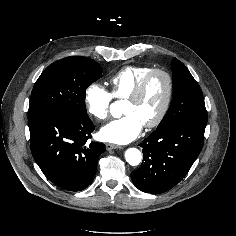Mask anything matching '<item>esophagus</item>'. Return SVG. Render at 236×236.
Wrapping results in <instances>:
<instances>
[{
    "mask_svg": "<svg viewBox=\"0 0 236 236\" xmlns=\"http://www.w3.org/2000/svg\"><path fill=\"white\" fill-rule=\"evenodd\" d=\"M117 148H121L120 146L116 145V144H112V143H106V149L112 150V149H117Z\"/></svg>",
    "mask_w": 236,
    "mask_h": 236,
    "instance_id": "obj_1",
    "label": "esophagus"
}]
</instances>
